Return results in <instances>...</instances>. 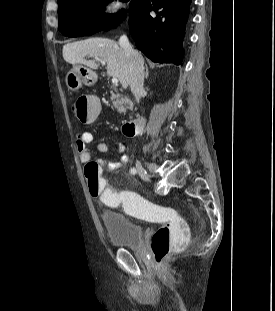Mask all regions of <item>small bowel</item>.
<instances>
[{
    "mask_svg": "<svg viewBox=\"0 0 275 311\" xmlns=\"http://www.w3.org/2000/svg\"><path fill=\"white\" fill-rule=\"evenodd\" d=\"M93 141L94 135L89 131H81L77 134L75 146L79 154V159L83 164L87 165L89 162H95L99 166V170L119 171L122 165L129 161L128 155L125 154L126 146L122 142L118 143L116 148V153L120 155L118 159L108 160L105 158H99L93 161L89 149V145ZM96 148L100 153H108L111 151L109 145L102 141L97 143Z\"/></svg>",
    "mask_w": 275,
    "mask_h": 311,
    "instance_id": "obj_1",
    "label": "small bowel"
}]
</instances>
